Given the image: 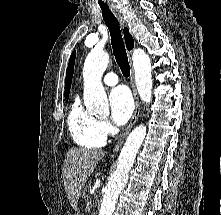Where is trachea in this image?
<instances>
[{
    "label": "trachea",
    "mask_w": 221,
    "mask_h": 215,
    "mask_svg": "<svg viewBox=\"0 0 221 215\" xmlns=\"http://www.w3.org/2000/svg\"><path fill=\"white\" fill-rule=\"evenodd\" d=\"M99 5L102 10L103 19L110 31L111 44L116 62L118 63L123 75L128 77L130 75V66L118 20L105 3H99Z\"/></svg>",
    "instance_id": "trachea-1"
}]
</instances>
